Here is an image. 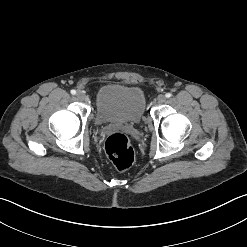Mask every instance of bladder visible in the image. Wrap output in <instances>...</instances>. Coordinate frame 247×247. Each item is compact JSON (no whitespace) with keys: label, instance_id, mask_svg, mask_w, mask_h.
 Listing matches in <instances>:
<instances>
[{"label":"bladder","instance_id":"31cf9c89","mask_svg":"<svg viewBox=\"0 0 247 247\" xmlns=\"http://www.w3.org/2000/svg\"><path fill=\"white\" fill-rule=\"evenodd\" d=\"M95 106L98 125L137 124L145 115L146 100L139 87L110 83L99 88Z\"/></svg>","mask_w":247,"mask_h":247}]
</instances>
